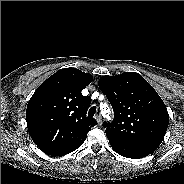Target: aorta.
Masks as SVG:
<instances>
[{
  "label": "aorta",
  "mask_w": 184,
  "mask_h": 184,
  "mask_svg": "<svg viewBox=\"0 0 184 184\" xmlns=\"http://www.w3.org/2000/svg\"><path fill=\"white\" fill-rule=\"evenodd\" d=\"M104 117H106L107 119H109V118H110L108 115H104Z\"/></svg>",
  "instance_id": "1"
}]
</instances>
